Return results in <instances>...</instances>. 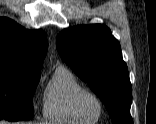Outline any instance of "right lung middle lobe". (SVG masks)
Instances as JSON below:
<instances>
[{
	"label": "right lung middle lobe",
	"mask_w": 156,
	"mask_h": 124,
	"mask_svg": "<svg viewBox=\"0 0 156 124\" xmlns=\"http://www.w3.org/2000/svg\"><path fill=\"white\" fill-rule=\"evenodd\" d=\"M40 74L0 68V120H28L33 116V95Z\"/></svg>",
	"instance_id": "dd1d6c3e"
}]
</instances>
